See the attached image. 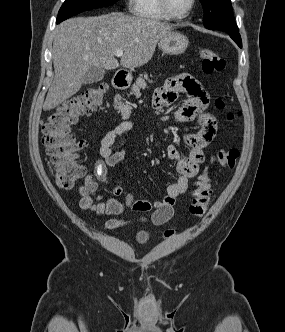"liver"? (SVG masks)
<instances>
[{
    "label": "liver",
    "instance_id": "6515ba94",
    "mask_svg": "<svg viewBox=\"0 0 285 332\" xmlns=\"http://www.w3.org/2000/svg\"><path fill=\"white\" fill-rule=\"evenodd\" d=\"M172 26L142 17L113 12L96 17H77L59 24L54 31V79L43 110L48 111L75 95L91 67H119L117 49L123 50L120 65L140 67L148 63L158 41Z\"/></svg>",
    "mask_w": 285,
    "mask_h": 332
}]
</instances>
